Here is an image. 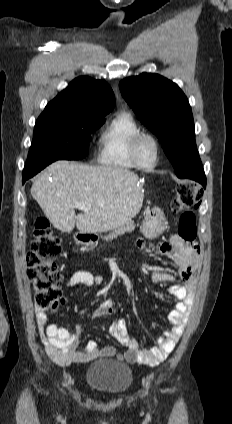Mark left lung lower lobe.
<instances>
[{
  "instance_id": "left-lung-lower-lobe-1",
  "label": "left lung lower lobe",
  "mask_w": 232,
  "mask_h": 424,
  "mask_svg": "<svg viewBox=\"0 0 232 424\" xmlns=\"http://www.w3.org/2000/svg\"><path fill=\"white\" fill-rule=\"evenodd\" d=\"M183 178H189V179L195 180L199 182L200 184H202L204 188L206 187V176H205L202 165L193 169L190 173L185 174Z\"/></svg>"
}]
</instances>
